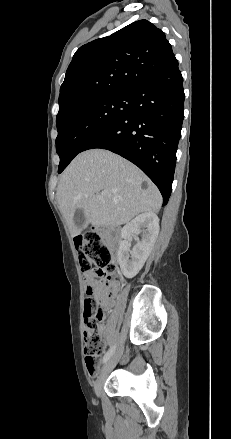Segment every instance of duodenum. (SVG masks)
<instances>
[{
  "label": "duodenum",
  "mask_w": 231,
  "mask_h": 439,
  "mask_svg": "<svg viewBox=\"0 0 231 439\" xmlns=\"http://www.w3.org/2000/svg\"><path fill=\"white\" fill-rule=\"evenodd\" d=\"M108 233L110 234V235H112V236H118V230L117 229H114V228H109L108 229Z\"/></svg>",
  "instance_id": "obj_1"
}]
</instances>
